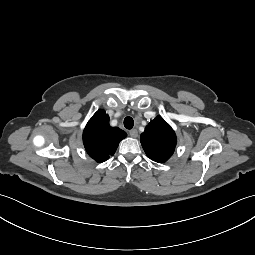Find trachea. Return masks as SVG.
Masks as SVG:
<instances>
[{"instance_id":"trachea-1","label":"trachea","mask_w":255,"mask_h":255,"mask_svg":"<svg viewBox=\"0 0 255 255\" xmlns=\"http://www.w3.org/2000/svg\"><path fill=\"white\" fill-rule=\"evenodd\" d=\"M124 126H125V128L126 129H132L133 128V126H134V121H133V119L131 118V117H126L125 119H124Z\"/></svg>"}]
</instances>
